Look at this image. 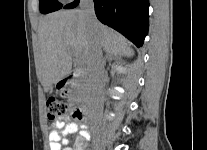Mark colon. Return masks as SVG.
Returning a JSON list of instances; mask_svg holds the SVG:
<instances>
[{
    "mask_svg": "<svg viewBox=\"0 0 207 150\" xmlns=\"http://www.w3.org/2000/svg\"><path fill=\"white\" fill-rule=\"evenodd\" d=\"M47 117L48 120L51 122H55L62 118L68 110V106L64 101H61L57 98L51 97L47 100ZM74 116L78 119L82 118L81 113L79 110L74 112Z\"/></svg>",
    "mask_w": 207,
    "mask_h": 150,
    "instance_id": "1",
    "label": "colon"
}]
</instances>
